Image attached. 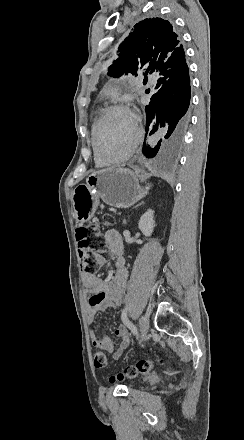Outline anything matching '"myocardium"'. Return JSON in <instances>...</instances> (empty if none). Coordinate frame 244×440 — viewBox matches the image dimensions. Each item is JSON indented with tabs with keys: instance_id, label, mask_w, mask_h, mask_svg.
I'll return each instance as SVG.
<instances>
[{
	"instance_id": "myocardium-1",
	"label": "myocardium",
	"mask_w": 244,
	"mask_h": 440,
	"mask_svg": "<svg viewBox=\"0 0 244 440\" xmlns=\"http://www.w3.org/2000/svg\"><path fill=\"white\" fill-rule=\"evenodd\" d=\"M116 110H121V111H125V112L130 113L128 108L126 106H124V105H121V104H116V105H112V106L107 107L104 110V112H103L101 122L97 123V132L95 133L96 137H95V139L93 141L95 142L94 146L96 147L95 148L96 149V155L100 159H102L104 161H108V162L114 161L116 163H122V162H124V161H126L128 159L129 155H123V156H120L118 158H113L114 155L111 152H109L108 154H103L104 150L99 148L100 147V143H102L101 142L102 141V139H101L102 134L101 133H103V128L102 127L104 126V124H109V122H108L109 116H110V114L113 111H116ZM128 142H131V140L127 141L126 143H128ZM120 146H122V145L114 146L113 149H117Z\"/></svg>"
}]
</instances>
